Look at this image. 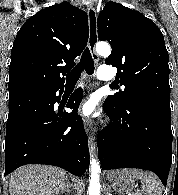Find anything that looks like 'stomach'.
<instances>
[{
  "instance_id": "1",
  "label": "stomach",
  "mask_w": 178,
  "mask_h": 195,
  "mask_svg": "<svg viewBox=\"0 0 178 195\" xmlns=\"http://www.w3.org/2000/svg\"><path fill=\"white\" fill-rule=\"evenodd\" d=\"M107 179L114 191L119 195L130 193L135 188V179L124 170H114L107 173Z\"/></svg>"
}]
</instances>
